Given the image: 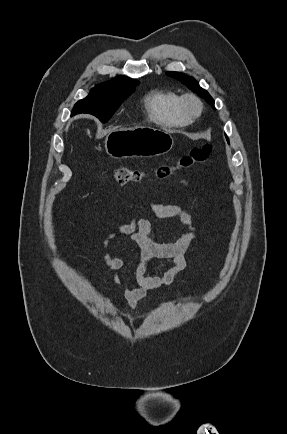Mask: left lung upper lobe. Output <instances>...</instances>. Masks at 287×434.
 <instances>
[{"mask_svg": "<svg viewBox=\"0 0 287 434\" xmlns=\"http://www.w3.org/2000/svg\"><path fill=\"white\" fill-rule=\"evenodd\" d=\"M166 75L182 81L189 89L204 98L214 108V100L207 91L199 86L194 78L180 72H167Z\"/></svg>", "mask_w": 287, "mask_h": 434, "instance_id": "1", "label": "left lung upper lobe"}]
</instances>
